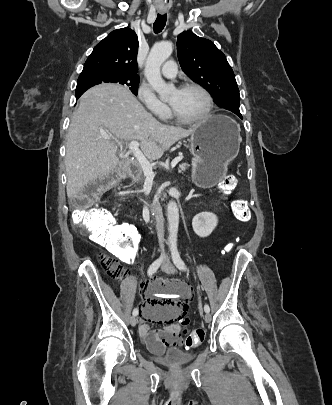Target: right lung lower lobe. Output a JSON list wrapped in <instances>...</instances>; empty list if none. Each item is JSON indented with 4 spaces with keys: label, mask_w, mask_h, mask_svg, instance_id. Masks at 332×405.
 Masks as SVG:
<instances>
[{
    "label": "right lung lower lobe",
    "mask_w": 332,
    "mask_h": 405,
    "mask_svg": "<svg viewBox=\"0 0 332 405\" xmlns=\"http://www.w3.org/2000/svg\"><path fill=\"white\" fill-rule=\"evenodd\" d=\"M83 93H76V99H78Z\"/></svg>",
    "instance_id": "right-lung-lower-lobe-1"
}]
</instances>
